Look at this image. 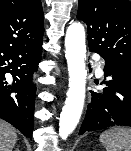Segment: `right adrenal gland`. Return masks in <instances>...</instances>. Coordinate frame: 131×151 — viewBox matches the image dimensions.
Segmentation results:
<instances>
[{
  "instance_id": "obj_1",
  "label": "right adrenal gland",
  "mask_w": 131,
  "mask_h": 151,
  "mask_svg": "<svg viewBox=\"0 0 131 151\" xmlns=\"http://www.w3.org/2000/svg\"><path fill=\"white\" fill-rule=\"evenodd\" d=\"M15 151H19V148L17 147V148L15 149Z\"/></svg>"
}]
</instances>
